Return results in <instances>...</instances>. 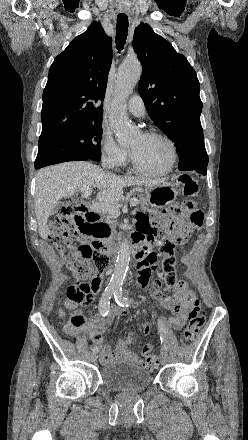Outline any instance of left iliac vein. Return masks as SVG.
Instances as JSON below:
<instances>
[{
    "mask_svg": "<svg viewBox=\"0 0 248 440\" xmlns=\"http://www.w3.org/2000/svg\"><path fill=\"white\" fill-rule=\"evenodd\" d=\"M169 361V356L166 352H162L160 355V363L161 364H166Z\"/></svg>",
    "mask_w": 248,
    "mask_h": 440,
    "instance_id": "1",
    "label": "left iliac vein"
}]
</instances>
